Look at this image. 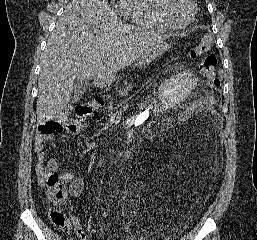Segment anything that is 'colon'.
<instances>
[{
  "label": "colon",
  "instance_id": "1",
  "mask_svg": "<svg viewBox=\"0 0 257 240\" xmlns=\"http://www.w3.org/2000/svg\"><path fill=\"white\" fill-rule=\"evenodd\" d=\"M212 37L205 35L201 41L196 44L190 51L189 55L192 59H198L203 55L200 60V70L204 77H206L215 88L221 85V79L216 73V56L209 53L212 47ZM107 97H98L91 102H82L75 109L76 120L75 124L78 127L84 125V123L91 118L98 109L108 104ZM64 129V126L55 121H46L38 126V132L45 135H51L56 132H60ZM47 196L51 203L59 205L66 201L68 193L64 183L57 175H49L46 180ZM50 219L52 223L63 231H68L70 222L67 216L61 211H52L50 213Z\"/></svg>",
  "mask_w": 257,
  "mask_h": 240
}]
</instances>
